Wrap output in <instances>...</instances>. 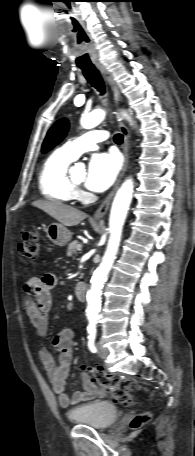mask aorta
Wrapping results in <instances>:
<instances>
[{"instance_id":"762f6f07","label":"aorta","mask_w":195,"mask_h":456,"mask_svg":"<svg viewBox=\"0 0 195 456\" xmlns=\"http://www.w3.org/2000/svg\"><path fill=\"white\" fill-rule=\"evenodd\" d=\"M105 118V111L97 109L85 114L81 118V125L85 129L97 126ZM130 120V118H128ZM133 180L126 179L117 191L112 203L109 218V240L102 262L94 272L91 279V288L87 294V317L94 319L101 309L102 288L107 279L108 273L116 258L121 241L123 225L132 201Z\"/></svg>"}]
</instances>
